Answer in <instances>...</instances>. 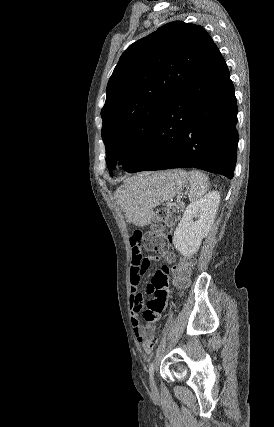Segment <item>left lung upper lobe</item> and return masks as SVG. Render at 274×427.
Masks as SVG:
<instances>
[{
	"label": "left lung upper lobe",
	"instance_id": "obj_1",
	"mask_svg": "<svg viewBox=\"0 0 274 427\" xmlns=\"http://www.w3.org/2000/svg\"><path fill=\"white\" fill-rule=\"evenodd\" d=\"M202 26L175 21L123 52L101 111L106 163L126 170L148 147L167 107L213 46Z\"/></svg>",
	"mask_w": 274,
	"mask_h": 427
}]
</instances>
